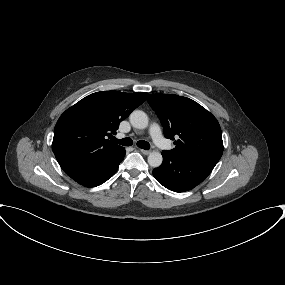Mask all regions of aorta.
<instances>
[{
  "instance_id": "obj_1",
  "label": "aorta",
  "mask_w": 285,
  "mask_h": 285,
  "mask_svg": "<svg viewBox=\"0 0 285 285\" xmlns=\"http://www.w3.org/2000/svg\"><path fill=\"white\" fill-rule=\"evenodd\" d=\"M130 123L134 128L145 129L148 126L149 120L145 112L134 110L130 114ZM163 158L160 152L153 151L148 155V163L152 167H159L162 164Z\"/></svg>"
}]
</instances>
